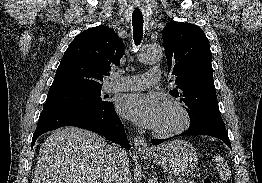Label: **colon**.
Here are the masks:
<instances>
[{
    "label": "colon",
    "mask_w": 262,
    "mask_h": 183,
    "mask_svg": "<svg viewBox=\"0 0 262 183\" xmlns=\"http://www.w3.org/2000/svg\"><path fill=\"white\" fill-rule=\"evenodd\" d=\"M202 183H216V182L210 177H205Z\"/></svg>",
    "instance_id": "colon-1"
}]
</instances>
